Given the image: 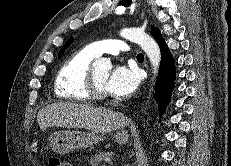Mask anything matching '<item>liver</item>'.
Wrapping results in <instances>:
<instances>
[{
    "label": "liver",
    "mask_w": 231,
    "mask_h": 166,
    "mask_svg": "<svg viewBox=\"0 0 231 166\" xmlns=\"http://www.w3.org/2000/svg\"><path fill=\"white\" fill-rule=\"evenodd\" d=\"M37 120L42 131L49 127L86 128L94 133H109L126 126L129 119L123 114L71 102H60L42 108Z\"/></svg>",
    "instance_id": "6515ba94"
}]
</instances>
